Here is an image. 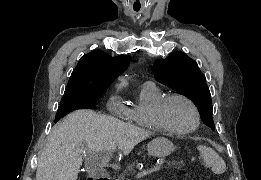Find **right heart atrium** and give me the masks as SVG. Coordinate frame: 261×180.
I'll return each mask as SVG.
<instances>
[{
    "mask_svg": "<svg viewBox=\"0 0 261 180\" xmlns=\"http://www.w3.org/2000/svg\"><path fill=\"white\" fill-rule=\"evenodd\" d=\"M117 98V92H113L110 97H109V102H113L115 101ZM114 114H119V117H121V120L124 118L122 112L118 111V112H114ZM123 127H125V125H123Z\"/></svg>",
    "mask_w": 261,
    "mask_h": 180,
    "instance_id": "d8ad5b80",
    "label": "right heart atrium"
}]
</instances>
